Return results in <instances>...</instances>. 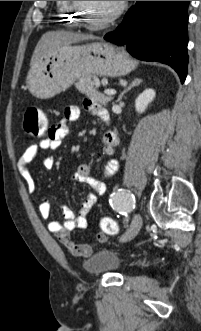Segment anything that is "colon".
<instances>
[{
  "label": "colon",
  "instance_id": "5ec220e1",
  "mask_svg": "<svg viewBox=\"0 0 201 331\" xmlns=\"http://www.w3.org/2000/svg\"><path fill=\"white\" fill-rule=\"evenodd\" d=\"M23 128L29 137L40 138L46 136L49 126L43 111L37 107L28 108L24 115ZM100 225L102 232L95 236L97 243H104L106 235H116L118 233L117 223L110 217H103Z\"/></svg>",
  "mask_w": 201,
  "mask_h": 331
}]
</instances>
